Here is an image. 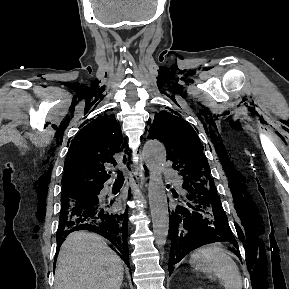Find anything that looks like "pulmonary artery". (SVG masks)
Returning <instances> with one entry per match:
<instances>
[{
	"label": "pulmonary artery",
	"mask_w": 289,
	"mask_h": 289,
	"mask_svg": "<svg viewBox=\"0 0 289 289\" xmlns=\"http://www.w3.org/2000/svg\"><path fill=\"white\" fill-rule=\"evenodd\" d=\"M175 173L174 172H171V171H169L167 168H166V166H164V177L165 178H175ZM174 182L176 183V184H178V180L177 179H175L174 180Z\"/></svg>",
	"instance_id": "obj_1"
}]
</instances>
